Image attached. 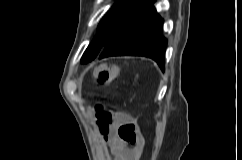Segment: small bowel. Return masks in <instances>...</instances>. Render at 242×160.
<instances>
[{
	"mask_svg": "<svg viewBox=\"0 0 242 160\" xmlns=\"http://www.w3.org/2000/svg\"><path fill=\"white\" fill-rule=\"evenodd\" d=\"M135 127V140L128 141L123 136L127 125ZM103 139L109 144L115 160H138L144 150L145 140L131 118L126 114H116L113 121L106 127H100Z\"/></svg>",
	"mask_w": 242,
	"mask_h": 160,
	"instance_id": "1",
	"label": "small bowel"
}]
</instances>
